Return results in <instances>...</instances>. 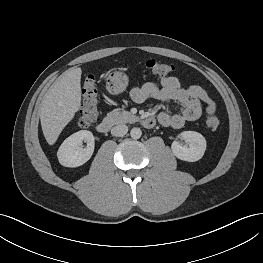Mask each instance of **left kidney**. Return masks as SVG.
I'll list each match as a JSON object with an SVG mask.
<instances>
[{"instance_id":"left-kidney-1","label":"left kidney","mask_w":263,"mask_h":263,"mask_svg":"<svg viewBox=\"0 0 263 263\" xmlns=\"http://www.w3.org/2000/svg\"><path fill=\"white\" fill-rule=\"evenodd\" d=\"M180 136L188 142V146H182L178 141H174L171 145L173 154L178 159L188 162L201 159L206 150L204 136L195 131H184Z\"/></svg>"}]
</instances>
